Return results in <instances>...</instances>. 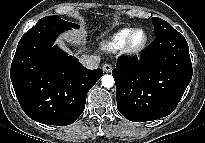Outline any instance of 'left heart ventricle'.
<instances>
[{"label":"left heart ventricle","mask_w":205,"mask_h":143,"mask_svg":"<svg viewBox=\"0 0 205 143\" xmlns=\"http://www.w3.org/2000/svg\"><path fill=\"white\" fill-rule=\"evenodd\" d=\"M143 39H144V34L142 32H139L134 37V43L139 44L140 42H142Z\"/></svg>","instance_id":"b2bd125f"}]
</instances>
